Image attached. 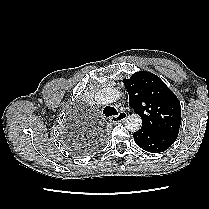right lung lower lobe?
<instances>
[{
	"label": "right lung lower lobe",
	"instance_id": "98d812e1",
	"mask_svg": "<svg viewBox=\"0 0 209 209\" xmlns=\"http://www.w3.org/2000/svg\"><path fill=\"white\" fill-rule=\"evenodd\" d=\"M101 141L97 140H87V141H79L71 143V148L76 153L80 155H87L94 152L100 145Z\"/></svg>",
	"mask_w": 209,
	"mask_h": 209
}]
</instances>
